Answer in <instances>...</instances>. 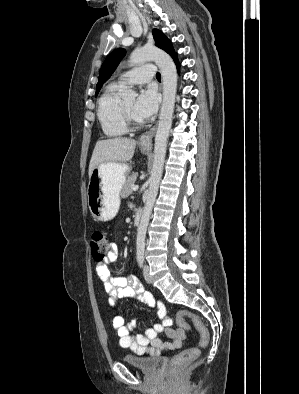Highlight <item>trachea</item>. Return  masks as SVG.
Returning <instances> with one entry per match:
<instances>
[{
	"instance_id": "1",
	"label": "trachea",
	"mask_w": 299,
	"mask_h": 394,
	"mask_svg": "<svg viewBox=\"0 0 299 394\" xmlns=\"http://www.w3.org/2000/svg\"><path fill=\"white\" fill-rule=\"evenodd\" d=\"M156 78H157V79H161V75H160L159 72L156 74Z\"/></svg>"
}]
</instances>
